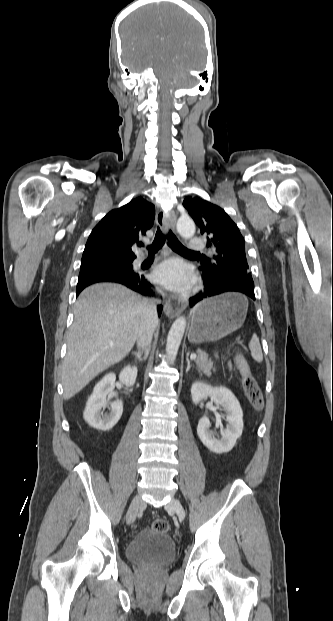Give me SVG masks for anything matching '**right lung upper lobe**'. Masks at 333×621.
Masks as SVG:
<instances>
[{"label":"right lung upper lobe","instance_id":"obj_1","mask_svg":"<svg viewBox=\"0 0 333 621\" xmlns=\"http://www.w3.org/2000/svg\"><path fill=\"white\" fill-rule=\"evenodd\" d=\"M154 219V205L141 197L111 210L92 230L82 259L135 258L131 247L142 245L139 237L152 227Z\"/></svg>","mask_w":333,"mask_h":621}]
</instances>
